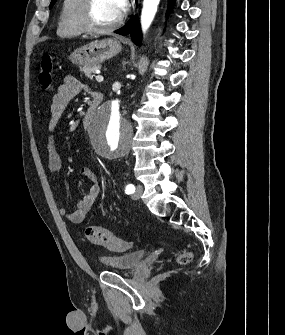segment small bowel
<instances>
[{
    "label": "small bowel",
    "instance_id": "1",
    "mask_svg": "<svg viewBox=\"0 0 285 335\" xmlns=\"http://www.w3.org/2000/svg\"><path fill=\"white\" fill-rule=\"evenodd\" d=\"M85 90V86L72 76H67L62 85H60L56 93L52 97L50 105V118L48 121V129L50 136L47 141V165L51 172L56 173L62 167V160L57 152L54 132L58 127L63 114L70 103L79 93ZM82 175L92 181L87 194L79 202L74 212H67L63 207L60 208L61 216L72 224H81L85 221L92 207L101 195L102 186L96 181L95 173L90 168H83Z\"/></svg>",
    "mask_w": 285,
    "mask_h": 335
}]
</instances>
